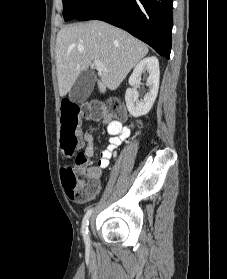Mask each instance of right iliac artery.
<instances>
[{"mask_svg": "<svg viewBox=\"0 0 227 279\" xmlns=\"http://www.w3.org/2000/svg\"><path fill=\"white\" fill-rule=\"evenodd\" d=\"M93 212V209H89L84 218H83V222H82V234H83V238L85 241V245L87 248H90V239H89V235H88V224H89V218L91 216Z\"/></svg>", "mask_w": 227, "mask_h": 279, "instance_id": "1", "label": "right iliac artery"}]
</instances>
